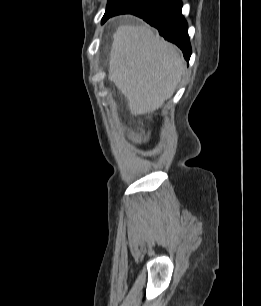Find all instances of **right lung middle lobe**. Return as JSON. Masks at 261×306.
<instances>
[{"mask_svg": "<svg viewBox=\"0 0 261 306\" xmlns=\"http://www.w3.org/2000/svg\"><path fill=\"white\" fill-rule=\"evenodd\" d=\"M130 1L131 0H109L108 4H107L105 14L113 12V11L121 8L122 6H124L126 3L130 2Z\"/></svg>", "mask_w": 261, "mask_h": 306, "instance_id": "1", "label": "right lung middle lobe"}]
</instances>
